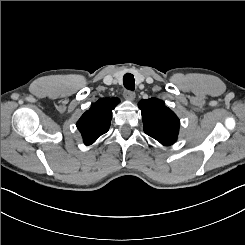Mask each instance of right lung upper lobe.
Wrapping results in <instances>:
<instances>
[{"label": "right lung upper lobe", "mask_w": 245, "mask_h": 245, "mask_svg": "<svg viewBox=\"0 0 245 245\" xmlns=\"http://www.w3.org/2000/svg\"><path fill=\"white\" fill-rule=\"evenodd\" d=\"M118 98H102L91 105L77 122L86 145L93 144L98 137L109 130L112 110L119 103Z\"/></svg>", "instance_id": "obj_1"}]
</instances>
